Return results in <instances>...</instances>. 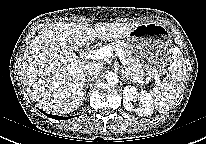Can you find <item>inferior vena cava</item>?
Segmentation results:
<instances>
[{
    "instance_id": "1",
    "label": "inferior vena cava",
    "mask_w": 206,
    "mask_h": 144,
    "mask_svg": "<svg viewBox=\"0 0 206 144\" xmlns=\"http://www.w3.org/2000/svg\"><path fill=\"white\" fill-rule=\"evenodd\" d=\"M102 67L98 63H91L87 66V70L85 72L86 80L90 79L93 80L94 78H97L101 73Z\"/></svg>"
}]
</instances>
